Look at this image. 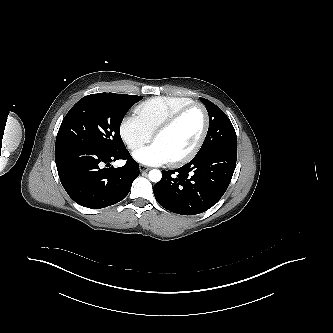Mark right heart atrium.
<instances>
[{"label": "right heart atrium", "mask_w": 333, "mask_h": 333, "mask_svg": "<svg viewBox=\"0 0 333 333\" xmlns=\"http://www.w3.org/2000/svg\"><path fill=\"white\" fill-rule=\"evenodd\" d=\"M119 133L128 149L132 151L139 149L152 138V133L136 115H127L122 119Z\"/></svg>", "instance_id": "right-heart-atrium-1"}]
</instances>
